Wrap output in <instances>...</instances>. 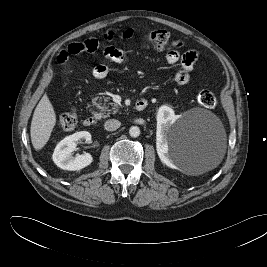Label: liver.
<instances>
[{
	"label": "liver",
	"mask_w": 267,
	"mask_h": 267,
	"mask_svg": "<svg viewBox=\"0 0 267 267\" xmlns=\"http://www.w3.org/2000/svg\"><path fill=\"white\" fill-rule=\"evenodd\" d=\"M55 124V111L45 94L36 106L31 121V142L36 151L41 150L46 145Z\"/></svg>",
	"instance_id": "6515ba94"
}]
</instances>
